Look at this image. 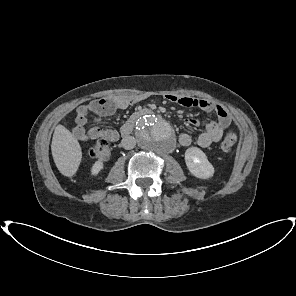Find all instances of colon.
<instances>
[{
    "instance_id": "1",
    "label": "colon",
    "mask_w": 296,
    "mask_h": 296,
    "mask_svg": "<svg viewBox=\"0 0 296 296\" xmlns=\"http://www.w3.org/2000/svg\"><path fill=\"white\" fill-rule=\"evenodd\" d=\"M237 141V133L234 129H229L226 136L220 143V149L224 152L229 151ZM91 158L106 161L111 156V148L106 140L97 141L89 150Z\"/></svg>"
}]
</instances>
